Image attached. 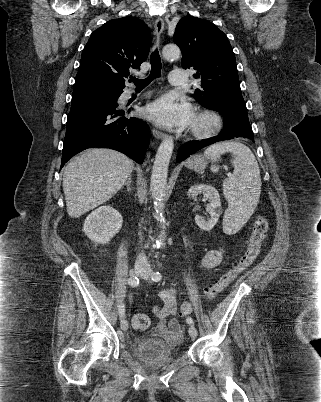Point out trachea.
<instances>
[{
    "label": "trachea",
    "instance_id": "trachea-1",
    "mask_svg": "<svg viewBox=\"0 0 321 402\" xmlns=\"http://www.w3.org/2000/svg\"><path fill=\"white\" fill-rule=\"evenodd\" d=\"M151 61V72L148 77L145 79H132L133 83L135 84L136 88L142 89L148 86L155 78H159L161 76V58L159 55L158 50L156 49L152 52L150 56Z\"/></svg>",
    "mask_w": 321,
    "mask_h": 402
}]
</instances>
